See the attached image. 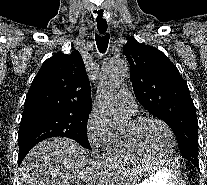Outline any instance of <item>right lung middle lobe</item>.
<instances>
[{
    "label": "right lung middle lobe",
    "instance_id": "dd1d6c3e",
    "mask_svg": "<svg viewBox=\"0 0 207 185\" xmlns=\"http://www.w3.org/2000/svg\"><path fill=\"white\" fill-rule=\"evenodd\" d=\"M89 114L34 110L23 112L18 132V165L38 142L50 137H68L91 149L87 137Z\"/></svg>",
    "mask_w": 207,
    "mask_h": 185
}]
</instances>
